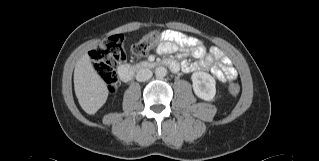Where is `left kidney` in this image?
Wrapping results in <instances>:
<instances>
[{
    "instance_id": "left-kidney-1",
    "label": "left kidney",
    "mask_w": 319,
    "mask_h": 161,
    "mask_svg": "<svg viewBox=\"0 0 319 161\" xmlns=\"http://www.w3.org/2000/svg\"><path fill=\"white\" fill-rule=\"evenodd\" d=\"M193 90L197 97L205 101H213L216 94L214 77L206 72H194L191 76Z\"/></svg>"
}]
</instances>
